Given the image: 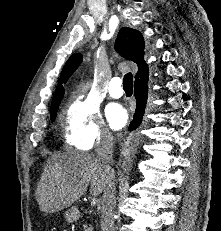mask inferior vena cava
<instances>
[{
  "label": "inferior vena cava",
  "instance_id": "inferior-vena-cava-1",
  "mask_svg": "<svg viewBox=\"0 0 221 231\" xmlns=\"http://www.w3.org/2000/svg\"><path fill=\"white\" fill-rule=\"evenodd\" d=\"M97 158L106 174L107 184L101 201V231H115L114 209L116 206L115 172L111 167L113 158V136L109 131H102L95 148Z\"/></svg>",
  "mask_w": 221,
  "mask_h": 231
}]
</instances>
